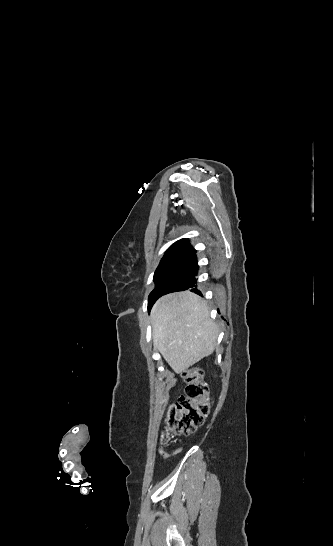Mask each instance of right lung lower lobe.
Returning a JSON list of instances; mask_svg holds the SVG:
<instances>
[{
	"label": "right lung lower lobe",
	"instance_id": "1",
	"mask_svg": "<svg viewBox=\"0 0 333 546\" xmlns=\"http://www.w3.org/2000/svg\"><path fill=\"white\" fill-rule=\"evenodd\" d=\"M195 253L196 250L194 249L187 252L161 277L156 288L155 296L150 301L148 300L149 310L159 297L170 292L183 291L192 288V292L202 295L201 292L196 289L197 285H195V276L199 269Z\"/></svg>",
	"mask_w": 333,
	"mask_h": 546
}]
</instances>
